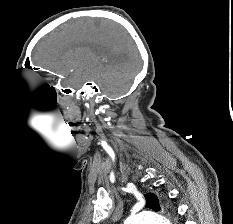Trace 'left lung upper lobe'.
I'll return each instance as SVG.
<instances>
[{
    "mask_svg": "<svg viewBox=\"0 0 233 224\" xmlns=\"http://www.w3.org/2000/svg\"><path fill=\"white\" fill-rule=\"evenodd\" d=\"M145 199H146V207L147 208H150L154 211H159L161 209L160 202H159L156 195H154L152 193H148L145 195ZM161 202H163V201H161Z\"/></svg>",
    "mask_w": 233,
    "mask_h": 224,
    "instance_id": "obj_1",
    "label": "left lung upper lobe"
}]
</instances>
